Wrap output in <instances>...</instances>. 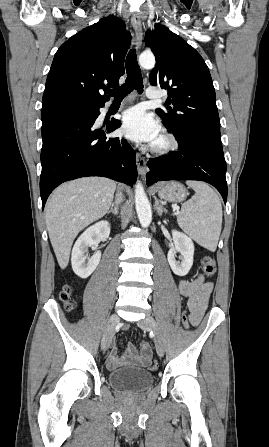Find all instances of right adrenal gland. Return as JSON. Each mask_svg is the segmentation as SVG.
Masks as SVG:
<instances>
[{
    "label": "right adrenal gland",
    "instance_id": "1",
    "mask_svg": "<svg viewBox=\"0 0 269 447\" xmlns=\"http://www.w3.org/2000/svg\"><path fill=\"white\" fill-rule=\"evenodd\" d=\"M114 214V216H118L119 214V208L117 206V204H112L110 210H108V212H106V214Z\"/></svg>",
    "mask_w": 269,
    "mask_h": 447
}]
</instances>
